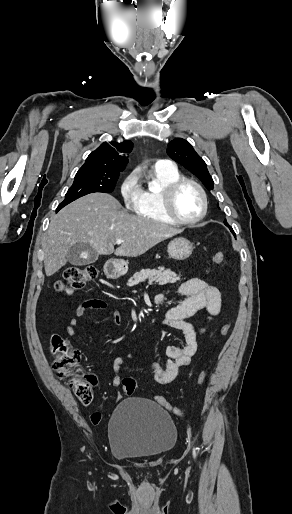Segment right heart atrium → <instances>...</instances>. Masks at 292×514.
Instances as JSON below:
<instances>
[{
	"label": "right heart atrium",
	"instance_id": "1",
	"mask_svg": "<svg viewBox=\"0 0 292 514\" xmlns=\"http://www.w3.org/2000/svg\"><path fill=\"white\" fill-rule=\"evenodd\" d=\"M143 188L139 183L138 174L130 172L122 178L119 184L120 200L124 202V209H135L142 200Z\"/></svg>",
	"mask_w": 292,
	"mask_h": 514
}]
</instances>
